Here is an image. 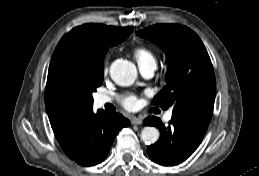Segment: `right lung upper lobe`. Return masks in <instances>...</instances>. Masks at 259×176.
<instances>
[{
    "instance_id": "1",
    "label": "right lung upper lobe",
    "mask_w": 259,
    "mask_h": 176,
    "mask_svg": "<svg viewBox=\"0 0 259 176\" xmlns=\"http://www.w3.org/2000/svg\"><path fill=\"white\" fill-rule=\"evenodd\" d=\"M132 30V27L88 23L73 28L61 38L50 62L45 89V106L55 136L87 116L93 108L92 95L72 65V47L81 43L89 51H99L121 43Z\"/></svg>"
}]
</instances>
